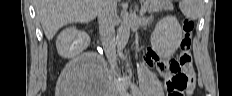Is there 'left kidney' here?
Returning <instances> with one entry per match:
<instances>
[{
    "mask_svg": "<svg viewBox=\"0 0 232 96\" xmlns=\"http://www.w3.org/2000/svg\"><path fill=\"white\" fill-rule=\"evenodd\" d=\"M181 40L182 29L174 16L159 20L150 39L153 50L162 58L173 56Z\"/></svg>",
    "mask_w": 232,
    "mask_h": 96,
    "instance_id": "left-kidney-1",
    "label": "left kidney"
}]
</instances>
